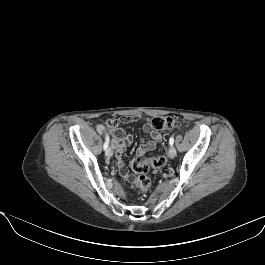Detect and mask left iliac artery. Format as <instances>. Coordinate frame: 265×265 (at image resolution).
Here are the masks:
<instances>
[{
  "mask_svg": "<svg viewBox=\"0 0 265 265\" xmlns=\"http://www.w3.org/2000/svg\"><path fill=\"white\" fill-rule=\"evenodd\" d=\"M169 144H170V146H173V144H174V138L173 137H170Z\"/></svg>",
  "mask_w": 265,
  "mask_h": 265,
  "instance_id": "left-iliac-artery-1",
  "label": "left iliac artery"
}]
</instances>
